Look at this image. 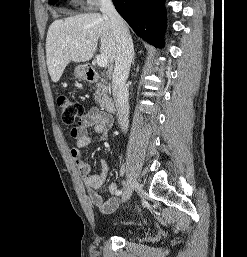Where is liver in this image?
<instances>
[{
    "label": "liver",
    "mask_w": 247,
    "mask_h": 257,
    "mask_svg": "<svg viewBox=\"0 0 247 257\" xmlns=\"http://www.w3.org/2000/svg\"><path fill=\"white\" fill-rule=\"evenodd\" d=\"M99 39L101 55L113 63L117 43L108 16L84 13L55 20L46 38L47 66L51 80L58 82L71 61H89L97 49Z\"/></svg>",
    "instance_id": "1"
}]
</instances>
